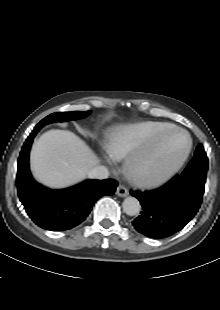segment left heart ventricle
Masks as SVG:
<instances>
[{
  "label": "left heart ventricle",
  "mask_w": 220,
  "mask_h": 310,
  "mask_svg": "<svg viewBox=\"0 0 220 310\" xmlns=\"http://www.w3.org/2000/svg\"><path fill=\"white\" fill-rule=\"evenodd\" d=\"M187 145V138L180 132H169L158 143L155 151L142 158V170L150 176H157L172 167L181 157Z\"/></svg>",
  "instance_id": "1"
}]
</instances>
